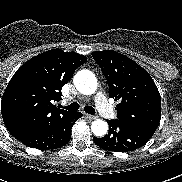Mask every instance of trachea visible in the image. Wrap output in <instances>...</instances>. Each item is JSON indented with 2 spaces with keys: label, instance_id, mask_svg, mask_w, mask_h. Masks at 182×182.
<instances>
[{
  "label": "trachea",
  "instance_id": "1",
  "mask_svg": "<svg viewBox=\"0 0 182 182\" xmlns=\"http://www.w3.org/2000/svg\"><path fill=\"white\" fill-rule=\"evenodd\" d=\"M80 105L77 102L71 103L69 106L64 107V109L69 111H77ZM84 111L88 114L94 115L95 109L91 106H85Z\"/></svg>",
  "mask_w": 182,
  "mask_h": 182
}]
</instances>
